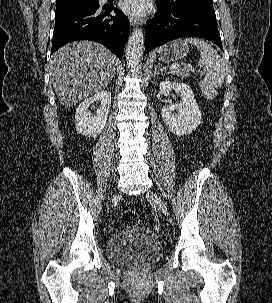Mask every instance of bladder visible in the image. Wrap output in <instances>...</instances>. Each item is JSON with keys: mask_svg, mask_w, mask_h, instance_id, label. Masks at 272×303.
<instances>
[{"mask_svg": "<svg viewBox=\"0 0 272 303\" xmlns=\"http://www.w3.org/2000/svg\"><path fill=\"white\" fill-rule=\"evenodd\" d=\"M110 260L125 265H150L163 254L158 235L142 226H128L113 235L107 242Z\"/></svg>", "mask_w": 272, "mask_h": 303, "instance_id": "obj_1", "label": "bladder"}]
</instances>
